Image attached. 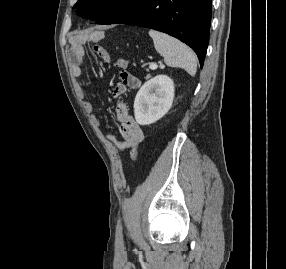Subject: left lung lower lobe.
I'll return each mask as SVG.
<instances>
[{
	"instance_id": "left-lung-lower-lobe-1",
	"label": "left lung lower lobe",
	"mask_w": 286,
	"mask_h": 269,
	"mask_svg": "<svg viewBox=\"0 0 286 269\" xmlns=\"http://www.w3.org/2000/svg\"><path fill=\"white\" fill-rule=\"evenodd\" d=\"M211 15L212 0H145L116 23L151 28L176 37L196 52L202 67Z\"/></svg>"
}]
</instances>
